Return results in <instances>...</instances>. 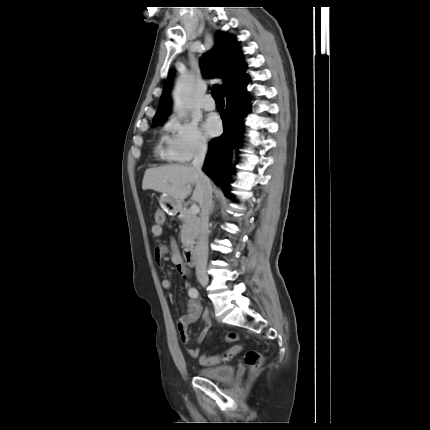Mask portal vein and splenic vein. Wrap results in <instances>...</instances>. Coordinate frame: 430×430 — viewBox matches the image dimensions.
Masks as SVG:
<instances>
[{
  "instance_id": "obj_1",
  "label": "portal vein and splenic vein",
  "mask_w": 430,
  "mask_h": 430,
  "mask_svg": "<svg viewBox=\"0 0 430 430\" xmlns=\"http://www.w3.org/2000/svg\"><path fill=\"white\" fill-rule=\"evenodd\" d=\"M188 188H190V186H188ZM190 211H191L192 214L196 215V214H198L200 212V208L198 207L197 204H192L191 208H190Z\"/></svg>"
}]
</instances>
